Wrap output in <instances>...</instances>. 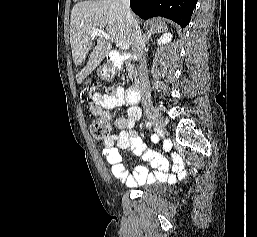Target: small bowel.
Here are the masks:
<instances>
[{
  "label": "small bowel",
  "instance_id": "1",
  "mask_svg": "<svg viewBox=\"0 0 257 237\" xmlns=\"http://www.w3.org/2000/svg\"><path fill=\"white\" fill-rule=\"evenodd\" d=\"M122 106L128 107L124 117H114L110 113V110ZM89 110L92 115L113 122L117 129V132L103 144L102 154L107 160L111 175L119 179L124 186L133 187L145 183L175 182L177 178L185 176L186 172L180 158H174L173 173H169L166 158L146 148L134 129L135 124L141 117V110L129 103L122 87H117L110 95H95L93 101L89 103ZM119 150H132L156 168V171L149 173L144 165H136L132 172L127 171Z\"/></svg>",
  "mask_w": 257,
  "mask_h": 237
}]
</instances>
